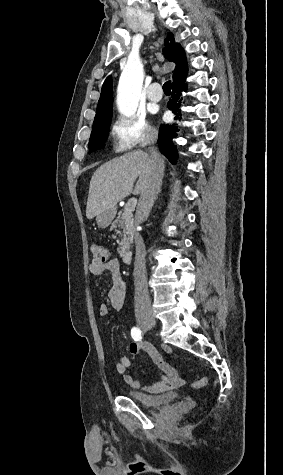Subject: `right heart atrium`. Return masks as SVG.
I'll list each match as a JSON object with an SVG mask.
<instances>
[{
  "instance_id": "obj_1",
  "label": "right heart atrium",
  "mask_w": 283,
  "mask_h": 475,
  "mask_svg": "<svg viewBox=\"0 0 283 475\" xmlns=\"http://www.w3.org/2000/svg\"><path fill=\"white\" fill-rule=\"evenodd\" d=\"M109 136L114 155H133L151 148L157 130L144 115L117 116L111 122Z\"/></svg>"
}]
</instances>
